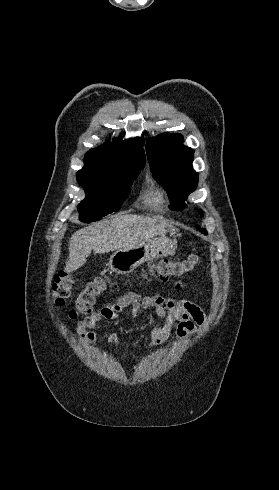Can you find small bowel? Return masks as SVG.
<instances>
[{
    "label": "small bowel",
    "instance_id": "1",
    "mask_svg": "<svg viewBox=\"0 0 279 490\" xmlns=\"http://www.w3.org/2000/svg\"><path fill=\"white\" fill-rule=\"evenodd\" d=\"M183 283H177L180 288ZM133 315L142 309H153L157 322L152 330L150 344L153 347L162 345L172 332L180 339H187L198 332L205 323V314L193 301L188 299L167 298L158 294L141 295L129 292L112 304H108L90 313L75 326L79 340L86 346L96 342L95 328L104 320H116L125 310ZM112 352L119 351V342L115 334L108 337Z\"/></svg>",
    "mask_w": 279,
    "mask_h": 490
}]
</instances>
